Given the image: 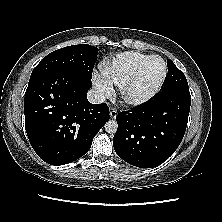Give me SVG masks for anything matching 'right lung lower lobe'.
Returning a JSON list of instances; mask_svg holds the SVG:
<instances>
[{
    "label": "right lung lower lobe",
    "mask_w": 222,
    "mask_h": 222,
    "mask_svg": "<svg viewBox=\"0 0 222 222\" xmlns=\"http://www.w3.org/2000/svg\"><path fill=\"white\" fill-rule=\"evenodd\" d=\"M91 78L53 71L31 78L24 99L25 129L37 155L64 165L88 152L94 136L109 120V108L87 100Z\"/></svg>",
    "instance_id": "obj_1"
}]
</instances>
